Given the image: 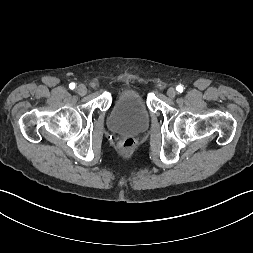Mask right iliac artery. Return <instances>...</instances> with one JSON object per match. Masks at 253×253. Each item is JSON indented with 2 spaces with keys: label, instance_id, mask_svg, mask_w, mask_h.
Returning a JSON list of instances; mask_svg holds the SVG:
<instances>
[{
  "label": "right iliac artery",
  "instance_id": "obj_1",
  "mask_svg": "<svg viewBox=\"0 0 253 253\" xmlns=\"http://www.w3.org/2000/svg\"><path fill=\"white\" fill-rule=\"evenodd\" d=\"M69 88H70V89H74V88H75V83H70V84H69Z\"/></svg>",
  "mask_w": 253,
  "mask_h": 253
}]
</instances>
